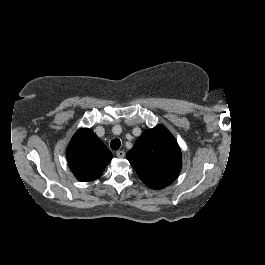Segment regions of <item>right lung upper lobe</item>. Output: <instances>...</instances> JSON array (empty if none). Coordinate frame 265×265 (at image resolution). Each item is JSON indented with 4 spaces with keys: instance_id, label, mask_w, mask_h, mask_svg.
Listing matches in <instances>:
<instances>
[{
    "instance_id": "1",
    "label": "right lung upper lobe",
    "mask_w": 265,
    "mask_h": 265,
    "mask_svg": "<svg viewBox=\"0 0 265 265\" xmlns=\"http://www.w3.org/2000/svg\"><path fill=\"white\" fill-rule=\"evenodd\" d=\"M66 156L75 177L84 182L99 178L113 157L93 131L86 128L73 136Z\"/></svg>"
}]
</instances>
